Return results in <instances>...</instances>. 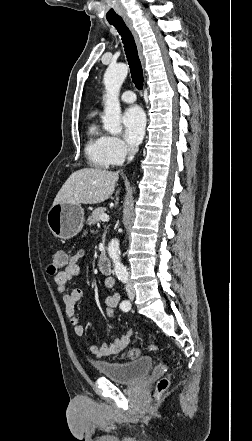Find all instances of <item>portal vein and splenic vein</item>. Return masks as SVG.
<instances>
[{
    "label": "portal vein and splenic vein",
    "mask_w": 252,
    "mask_h": 441,
    "mask_svg": "<svg viewBox=\"0 0 252 441\" xmlns=\"http://www.w3.org/2000/svg\"><path fill=\"white\" fill-rule=\"evenodd\" d=\"M100 219H101V221H103V222H107V221H109V216H108L107 214H102V215L100 216Z\"/></svg>",
    "instance_id": "1"
}]
</instances>
